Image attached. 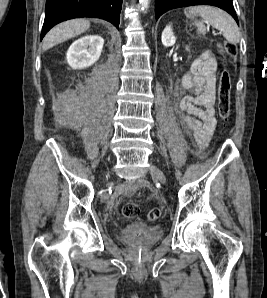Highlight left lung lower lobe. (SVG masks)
<instances>
[{"mask_svg": "<svg viewBox=\"0 0 267 298\" xmlns=\"http://www.w3.org/2000/svg\"><path fill=\"white\" fill-rule=\"evenodd\" d=\"M200 4L217 6L227 11L238 24L232 0H155V18L157 20L163 13L171 9Z\"/></svg>", "mask_w": 267, "mask_h": 298, "instance_id": "0a47b994", "label": "left lung lower lobe"}]
</instances>
